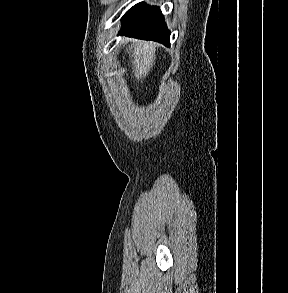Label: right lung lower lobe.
<instances>
[{
  "mask_svg": "<svg viewBox=\"0 0 288 293\" xmlns=\"http://www.w3.org/2000/svg\"><path fill=\"white\" fill-rule=\"evenodd\" d=\"M122 20L123 25L119 35L170 45V32L158 7L148 6L143 2L139 3L129 9Z\"/></svg>",
  "mask_w": 288,
  "mask_h": 293,
  "instance_id": "right-lung-lower-lobe-1",
  "label": "right lung lower lobe"
}]
</instances>
